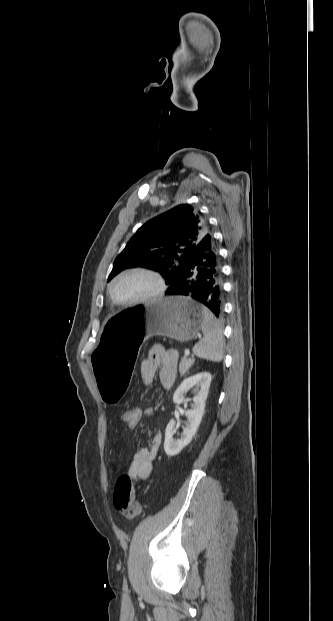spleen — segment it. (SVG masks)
Masks as SVG:
<instances>
[{
  "mask_svg": "<svg viewBox=\"0 0 333 621\" xmlns=\"http://www.w3.org/2000/svg\"><path fill=\"white\" fill-rule=\"evenodd\" d=\"M203 313L201 331L204 337L193 347V353L200 359L220 362L224 353L222 324L206 307Z\"/></svg>",
  "mask_w": 333,
  "mask_h": 621,
  "instance_id": "spleen-1",
  "label": "spleen"
}]
</instances>
